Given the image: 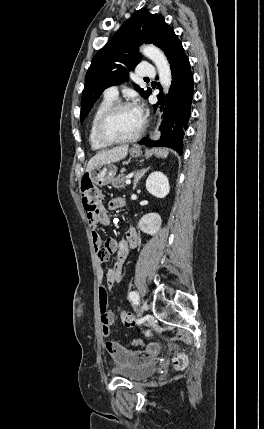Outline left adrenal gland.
<instances>
[{
    "label": "left adrenal gland",
    "instance_id": "obj_1",
    "mask_svg": "<svg viewBox=\"0 0 264 429\" xmlns=\"http://www.w3.org/2000/svg\"><path fill=\"white\" fill-rule=\"evenodd\" d=\"M150 169V167L148 168H143L141 170H137L134 176V181H133V190H135V188L137 187V184L139 182V180L144 176V174Z\"/></svg>",
    "mask_w": 264,
    "mask_h": 429
}]
</instances>
